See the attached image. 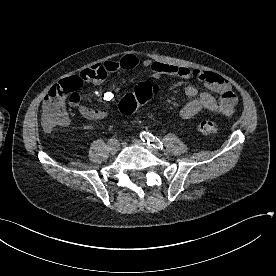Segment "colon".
Masks as SVG:
<instances>
[{"label": "colon", "mask_w": 276, "mask_h": 276, "mask_svg": "<svg viewBox=\"0 0 276 276\" xmlns=\"http://www.w3.org/2000/svg\"><path fill=\"white\" fill-rule=\"evenodd\" d=\"M78 78H68L54 85L48 92L49 105L43 110L42 124L46 131H52L67 125L68 117L63 107L65 98H74L82 86ZM159 92V87L153 82H140L131 93H127L119 102L118 110L125 115H130L140 105L146 104ZM201 134L212 135L219 130V123L215 119L202 120L197 124Z\"/></svg>", "instance_id": "colon-1"}]
</instances>
